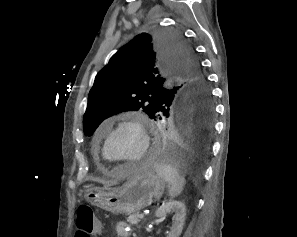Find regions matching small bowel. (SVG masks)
Instances as JSON below:
<instances>
[{"label":"small bowel","mask_w":297,"mask_h":237,"mask_svg":"<svg viewBox=\"0 0 297 237\" xmlns=\"http://www.w3.org/2000/svg\"><path fill=\"white\" fill-rule=\"evenodd\" d=\"M116 232L119 237H129L130 229L125 222H119L116 226Z\"/></svg>","instance_id":"obj_1"}]
</instances>
